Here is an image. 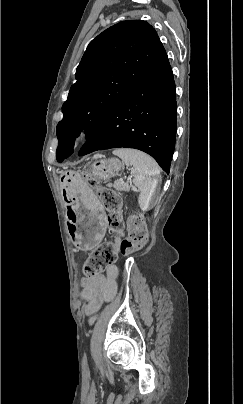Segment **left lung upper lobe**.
Returning a JSON list of instances; mask_svg holds the SVG:
<instances>
[{
  "label": "left lung upper lobe",
  "mask_w": 243,
  "mask_h": 404,
  "mask_svg": "<svg viewBox=\"0 0 243 404\" xmlns=\"http://www.w3.org/2000/svg\"><path fill=\"white\" fill-rule=\"evenodd\" d=\"M167 59L155 29L142 20L122 21L93 39L62 106L57 161L73 153L81 131L85 130L87 139L104 116Z\"/></svg>",
  "instance_id": "1"
}]
</instances>
